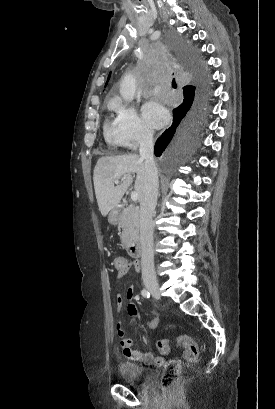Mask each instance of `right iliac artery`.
<instances>
[{
    "instance_id": "obj_1",
    "label": "right iliac artery",
    "mask_w": 275,
    "mask_h": 409,
    "mask_svg": "<svg viewBox=\"0 0 275 409\" xmlns=\"http://www.w3.org/2000/svg\"><path fill=\"white\" fill-rule=\"evenodd\" d=\"M141 294H142V296L145 297V298H150V292H149L148 290H146V289H143V290L141 291Z\"/></svg>"
}]
</instances>
